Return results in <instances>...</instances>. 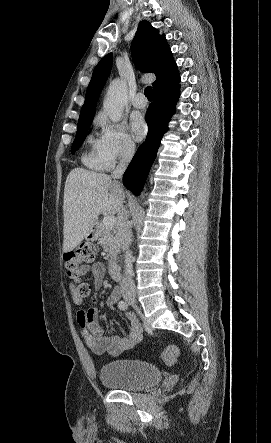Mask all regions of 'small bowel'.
<instances>
[{"instance_id": "obj_1", "label": "small bowel", "mask_w": 271, "mask_h": 443, "mask_svg": "<svg viewBox=\"0 0 271 443\" xmlns=\"http://www.w3.org/2000/svg\"><path fill=\"white\" fill-rule=\"evenodd\" d=\"M79 275L84 276L88 273L93 277V288L98 290L105 278V268L103 264L97 262L92 265H83L79 267ZM70 291L73 300L80 305L82 296L77 292V287L70 284ZM120 292L114 289L107 299V305L113 307L119 299ZM125 320L128 324V334L125 337L117 335H105L99 325L98 314L96 309L90 308L86 311L80 310L77 313V321L83 330V337L90 348L96 355L111 354L119 355L137 345L141 339V331L137 318L130 312L125 313Z\"/></svg>"}]
</instances>
